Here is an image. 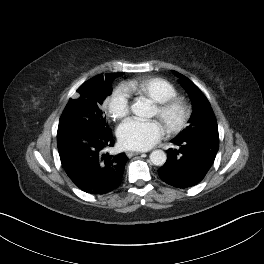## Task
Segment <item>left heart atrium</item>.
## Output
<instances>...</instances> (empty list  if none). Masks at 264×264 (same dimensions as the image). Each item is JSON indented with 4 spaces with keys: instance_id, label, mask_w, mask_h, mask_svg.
Masks as SVG:
<instances>
[{
    "instance_id": "left-heart-atrium-1",
    "label": "left heart atrium",
    "mask_w": 264,
    "mask_h": 264,
    "mask_svg": "<svg viewBox=\"0 0 264 264\" xmlns=\"http://www.w3.org/2000/svg\"><path fill=\"white\" fill-rule=\"evenodd\" d=\"M164 127L157 120L130 118L117 130L120 143L133 150H147L164 135Z\"/></svg>"
}]
</instances>
